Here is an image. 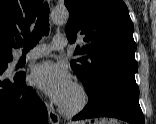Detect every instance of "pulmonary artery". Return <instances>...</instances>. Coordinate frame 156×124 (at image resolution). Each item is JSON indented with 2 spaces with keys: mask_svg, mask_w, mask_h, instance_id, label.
Here are the masks:
<instances>
[{
  "mask_svg": "<svg viewBox=\"0 0 156 124\" xmlns=\"http://www.w3.org/2000/svg\"><path fill=\"white\" fill-rule=\"evenodd\" d=\"M67 45L66 37L63 35H56L53 38L51 44H42L35 49L31 50L25 55H22L21 58L25 60H31L40 58L48 55L52 50H60L63 49Z\"/></svg>",
  "mask_w": 156,
  "mask_h": 124,
  "instance_id": "1",
  "label": "pulmonary artery"
}]
</instances>
